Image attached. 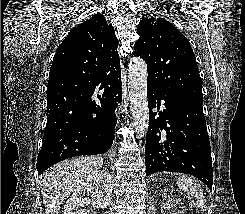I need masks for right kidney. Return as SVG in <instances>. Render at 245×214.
Segmentation results:
<instances>
[{
	"instance_id": "ca27d5eb",
	"label": "right kidney",
	"mask_w": 245,
	"mask_h": 214,
	"mask_svg": "<svg viewBox=\"0 0 245 214\" xmlns=\"http://www.w3.org/2000/svg\"><path fill=\"white\" fill-rule=\"evenodd\" d=\"M91 195L92 205L104 209L108 206L112 195V178L107 171H94L90 173L86 181L74 189L71 197L64 205V214H88L85 206L90 199L85 197Z\"/></svg>"
}]
</instances>
